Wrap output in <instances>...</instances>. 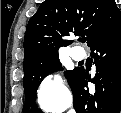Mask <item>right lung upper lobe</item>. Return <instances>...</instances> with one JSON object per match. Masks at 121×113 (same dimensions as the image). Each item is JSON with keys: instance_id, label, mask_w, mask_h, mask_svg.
<instances>
[{"instance_id": "obj_1", "label": "right lung upper lobe", "mask_w": 121, "mask_h": 113, "mask_svg": "<svg viewBox=\"0 0 121 113\" xmlns=\"http://www.w3.org/2000/svg\"><path fill=\"white\" fill-rule=\"evenodd\" d=\"M121 27L115 0H45L31 17L24 39V69L72 43L70 34H85L90 47Z\"/></svg>"}]
</instances>
